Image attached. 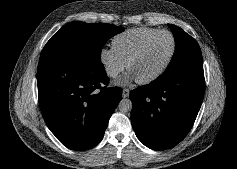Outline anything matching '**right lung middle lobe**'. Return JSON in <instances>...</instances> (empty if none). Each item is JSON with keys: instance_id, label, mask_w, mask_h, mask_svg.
I'll use <instances>...</instances> for the list:
<instances>
[{"instance_id": "obj_1", "label": "right lung middle lobe", "mask_w": 237, "mask_h": 169, "mask_svg": "<svg viewBox=\"0 0 237 169\" xmlns=\"http://www.w3.org/2000/svg\"><path fill=\"white\" fill-rule=\"evenodd\" d=\"M124 29L111 24L74 21L63 26L47 42L41 59L101 63V49L108 39Z\"/></svg>"}]
</instances>
